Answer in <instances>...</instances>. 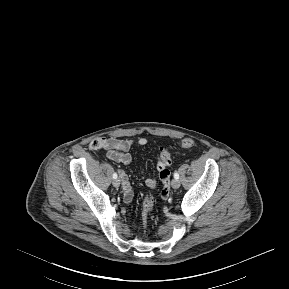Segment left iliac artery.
I'll return each instance as SVG.
<instances>
[{
	"label": "left iliac artery",
	"instance_id": "left-iliac-artery-1",
	"mask_svg": "<svg viewBox=\"0 0 289 289\" xmlns=\"http://www.w3.org/2000/svg\"><path fill=\"white\" fill-rule=\"evenodd\" d=\"M174 178L179 179V174L177 172L174 173Z\"/></svg>",
	"mask_w": 289,
	"mask_h": 289
}]
</instances>
